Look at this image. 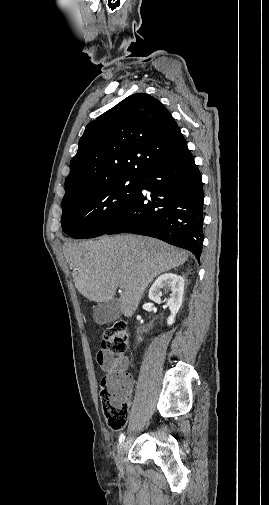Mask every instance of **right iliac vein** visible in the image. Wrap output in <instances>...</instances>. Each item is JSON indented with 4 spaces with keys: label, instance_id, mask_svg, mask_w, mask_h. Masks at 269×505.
<instances>
[{
    "label": "right iliac vein",
    "instance_id": "right-iliac-vein-1",
    "mask_svg": "<svg viewBox=\"0 0 269 505\" xmlns=\"http://www.w3.org/2000/svg\"><path fill=\"white\" fill-rule=\"evenodd\" d=\"M126 450H127V443L125 441H123L118 449L117 454H116V464L119 469L123 468L122 460H123V456H124Z\"/></svg>",
    "mask_w": 269,
    "mask_h": 505
}]
</instances>
